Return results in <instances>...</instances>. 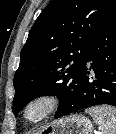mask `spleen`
<instances>
[{
	"label": "spleen",
	"mask_w": 116,
	"mask_h": 134,
	"mask_svg": "<svg viewBox=\"0 0 116 134\" xmlns=\"http://www.w3.org/2000/svg\"><path fill=\"white\" fill-rule=\"evenodd\" d=\"M99 125L100 134H116V109L111 106H96L86 110Z\"/></svg>",
	"instance_id": "obj_1"
}]
</instances>
